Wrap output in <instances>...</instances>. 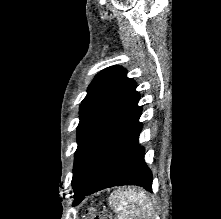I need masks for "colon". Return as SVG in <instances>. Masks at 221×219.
<instances>
[{
	"label": "colon",
	"instance_id": "obj_1",
	"mask_svg": "<svg viewBox=\"0 0 221 219\" xmlns=\"http://www.w3.org/2000/svg\"><path fill=\"white\" fill-rule=\"evenodd\" d=\"M87 219H114L112 215L107 211H95L90 210L87 214Z\"/></svg>",
	"mask_w": 221,
	"mask_h": 219
}]
</instances>
